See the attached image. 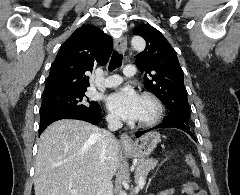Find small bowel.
I'll return each mask as SVG.
<instances>
[{
	"mask_svg": "<svg viewBox=\"0 0 240 195\" xmlns=\"http://www.w3.org/2000/svg\"><path fill=\"white\" fill-rule=\"evenodd\" d=\"M180 191L186 195H207V192H205L197 183L193 181L183 182ZM174 192L175 189L166 188L157 192L155 195H174Z\"/></svg>",
	"mask_w": 240,
	"mask_h": 195,
	"instance_id": "small-bowel-1",
	"label": "small bowel"
}]
</instances>
